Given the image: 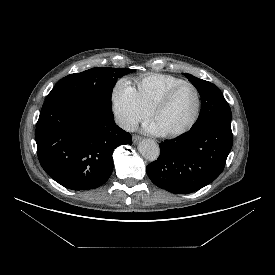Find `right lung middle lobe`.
<instances>
[{"label":"right lung middle lobe","instance_id":"1","mask_svg":"<svg viewBox=\"0 0 275 275\" xmlns=\"http://www.w3.org/2000/svg\"><path fill=\"white\" fill-rule=\"evenodd\" d=\"M127 68H92L62 78L46 97L45 102L86 99L112 111L111 95L117 78L134 72Z\"/></svg>","mask_w":275,"mask_h":275}]
</instances>
